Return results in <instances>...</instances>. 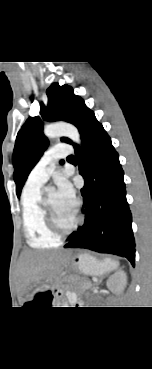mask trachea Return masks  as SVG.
<instances>
[{"mask_svg":"<svg viewBox=\"0 0 152 369\" xmlns=\"http://www.w3.org/2000/svg\"><path fill=\"white\" fill-rule=\"evenodd\" d=\"M73 157H74V156H72V155H71V156H69L68 158H73Z\"/></svg>","mask_w":152,"mask_h":369,"instance_id":"1","label":"trachea"}]
</instances>
